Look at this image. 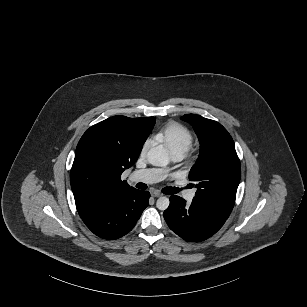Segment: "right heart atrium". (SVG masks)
<instances>
[{
	"label": "right heart atrium",
	"mask_w": 307,
	"mask_h": 307,
	"mask_svg": "<svg viewBox=\"0 0 307 307\" xmlns=\"http://www.w3.org/2000/svg\"><path fill=\"white\" fill-rule=\"evenodd\" d=\"M151 144H152V141L147 140L142 147V152H145L151 146Z\"/></svg>",
	"instance_id": "1"
}]
</instances>
